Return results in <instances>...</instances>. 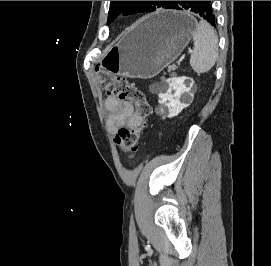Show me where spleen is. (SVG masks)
Wrapping results in <instances>:
<instances>
[{
    "instance_id": "3e777b00",
    "label": "spleen",
    "mask_w": 271,
    "mask_h": 266,
    "mask_svg": "<svg viewBox=\"0 0 271 266\" xmlns=\"http://www.w3.org/2000/svg\"><path fill=\"white\" fill-rule=\"evenodd\" d=\"M194 50L190 57V65L198 74L211 70L218 57V37L214 29L206 21L196 24L193 33Z\"/></svg>"
}]
</instances>
